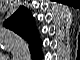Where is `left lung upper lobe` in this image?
Segmentation results:
<instances>
[{"label": "left lung upper lobe", "instance_id": "obj_1", "mask_svg": "<svg viewBox=\"0 0 80 60\" xmlns=\"http://www.w3.org/2000/svg\"><path fill=\"white\" fill-rule=\"evenodd\" d=\"M4 26L13 30L27 40L30 51L39 50V38L34 18L28 9L20 7L9 19L4 22Z\"/></svg>", "mask_w": 80, "mask_h": 60}]
</instances>
